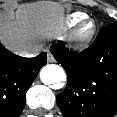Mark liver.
<instances>
[{"label":"liver","instance_id":"1","mask_svg":"<svg viewBox=\"0 0 117 117\" xmlns=\"http://www.w3.org/2000/svg\"><path fill=\"white\" fill-rule=\"evenodd\" d=\"M16 19V23L5 22L0 26V38L8 49L15 52L33 46L40 38L56 34L62 22L60 7L48 2L20 6Z\"/></svg>","mask_w":117,"mask_h":117}]
</instances>
